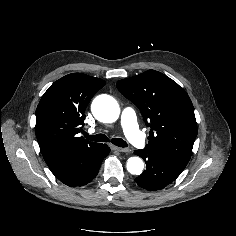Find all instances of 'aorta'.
<instances>
[{
  "label": "aorta",
  "mask_w": 236,
  "mask_h": 236,
  "mask_svg": "<svg viewBox=\"0 0 236 236\" xmlns=\"http://www.w3.org/2000/svg\"><path fill=\"white\" fill-rule=\"evenodd\" d=\"M92 113L102 122H115L120 114L117 101L109 95H99L92 102ZM127 170L133 175H140L144 168V163L139 157H130L126 164Z\"/></svg>",
  "instance_id": "obj_1"
}]
</instances>
